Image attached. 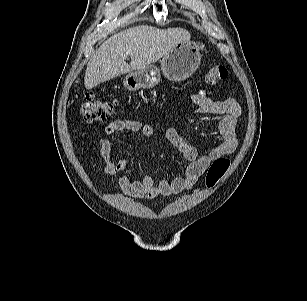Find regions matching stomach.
<instances>
[{
  "label": "stomach",
  "mask_w": 307,
  "mask_h": 301,
  "mask_svg": "<svg viewBox=\"0 0 307 301\" xmlns=\"http://www.w3.org/2000/svg\"><path fill=\"white\" fill-rule=\"evenodd\" d=\"M203 51V44L192 41L179 42L161 60L163 75L173 82L184 81L198 69ZM160 79L159 69L154 65H148L129 73L123 84L126 89L135 91L140 88H153L158 85Z\"/></svg>",
  "instance_id": "0dacf381"
}]
</instances>
